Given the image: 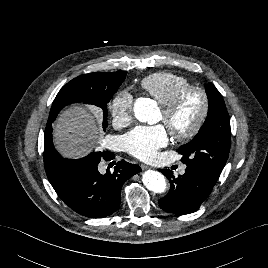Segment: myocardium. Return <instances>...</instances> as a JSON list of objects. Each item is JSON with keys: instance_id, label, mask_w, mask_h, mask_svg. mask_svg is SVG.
<instances>
[{"instance_id": "myocardium-1", "label": "myocardium", "mask_w": 268, "mask_h": 268, "mask_svg": "<svg viewBox=\"0 0 268 268\" xmlns=\"http://www.w3.org/2000/svg\"><path fill=\"white\" fill-rule=\"evenodd\" d=\"M192 92L199 94L201 97V103H202L201 111L197 119L195 120V122L192 124V126L188 130L181 132V133L169 131L173 139L178 142H187L193 139L203 127L205 121L208 118L209 111H210L209 95L204 88L200 86L189 85L178 90L166 104L161 106V111L163 113L164 119L165 121H168L174 115L176 109L181 104L183 98L187 94L192 93Z\"/></svg>"}]
</instances>
